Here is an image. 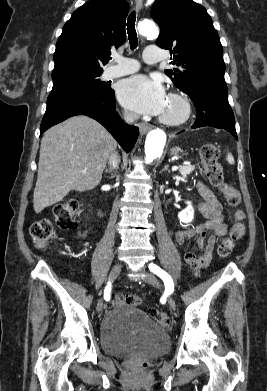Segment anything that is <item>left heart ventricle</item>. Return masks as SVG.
I'll return each mask as SVG.
<instances>
[{
	"label": "left heart ventricle",
	"mask_w": 267,
	"mask_h": 391,
	"mask_svg": "<svg viewBox=\"0 0 267 391\" xmlns=\"http://www.w3.org/2000/svg\"><path fill=\"white\" fill-rule=\"evenodd\" d=\"M180 112H181L180 104L176 101L167 99V103L162 114L170 117H175L179 115Z\"/></svg>",
	"instance_id": "b2bd125f"
}]
</instances>
